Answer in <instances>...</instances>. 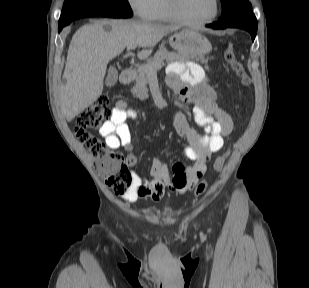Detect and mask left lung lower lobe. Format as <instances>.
I'll use <instances>...</instances> for the list:
<instances>
[{"instance_id": "obj_1", "label": "left lung lower lobe", "mask_w": 309, "mask_h": 288, "mask_svg": "<svg viewBox=\"0 0 309 288\" xmlns=\"http://www.w3.org/2000/svg\"><path fill=\"white\" fill-rule=\"evenodd\" d=\"M213 29L224 28H241L247 30L251 34L252 41H254L257 33V20L253 12L245 13L230 20L218 21L207 25Z\"/></svg>"}]
</instances>
